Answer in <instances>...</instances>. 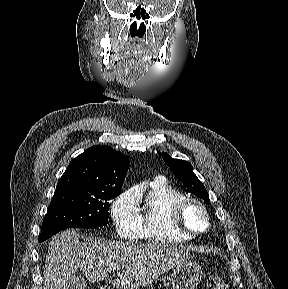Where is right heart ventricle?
<instances>
[{
    "label": "right heart ventricle",
    "instance_id": "1",
    "mask_svg": "<svg viewBox=\"0 0 288 289\" xmlns=\"http://www.w3.org/2000/svg\"><path fill=\"white\" fill-rule=\"evenodd\" d=\"M186 195L164 179L155 180L135 196L140 219L139 237L158 244H180L191 238L171 222L170 209Z\"/></svg>",
    "mask_w": 288,
    "mask_h": 289
}]
</instances>
